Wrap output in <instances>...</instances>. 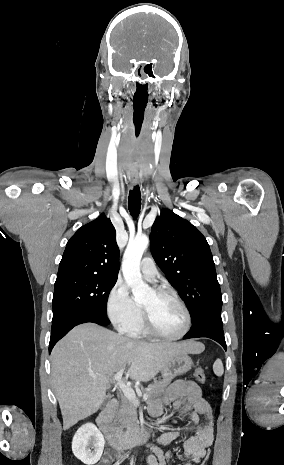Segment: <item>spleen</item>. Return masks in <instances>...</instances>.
<instances>
[{
    "mask_svg": "<svg viewBox=\"0 0 284 465\" xmlns=\"http://www.w3.org/2000/svg\"><path fill=\"white\" fill-rule=\"evenodd\" d=\"M213 371L217 377H222L224 373V367L221 359H216L214 365H213Z\"/></svg>",
    "mask_w": 284,
    "mask_h": 465,
    "instance_id": "obj_1",
    "label": "spleen"
}]
</instances>
